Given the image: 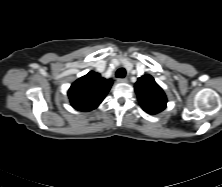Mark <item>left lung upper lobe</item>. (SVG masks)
<instances>
[{
    "label": "left lung upper lobe",
    "mask_w": 222,
    "mask_h": 187,
    "mask_svg": "<svg viewBox=\"0 0 222 187\" xmlns=\"http://www.w3.org/2000/svg\"><path fill=\"white\" fill-rule=\"evenodd\" d=\"M135 91L143 110L147 113L157 114L166 108V95L152 76H141L135 83Z\"/></svg>",
    "instance_id": "5c2ea615"
}]
</instances>
